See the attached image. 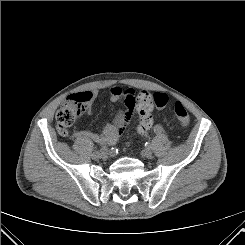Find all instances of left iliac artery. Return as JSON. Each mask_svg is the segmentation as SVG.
<instances>
[{
	"label": "left iliac artery",
	"instance_id": "obj_1",
	"mask_svg": "<svg viewBox=\"0 0 245 245\" xmlns=\"http://www.w3.org/2000/svg\"><path fill=\"white\" fill-rule=\"evenodd\" d=\"M155 132L156 133H161L162 132V127L161 126H156L155 127Z\"/></svg>",
	"mask_w": 245,
	"mask_h": 245
}]
</instances>
